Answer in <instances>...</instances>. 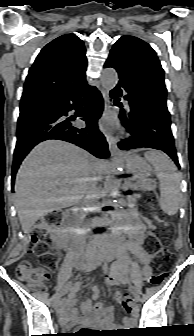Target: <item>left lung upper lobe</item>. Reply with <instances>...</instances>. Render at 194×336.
I'll return each mask as SVG.
<instances>
[{
  "label": "left lung upper lobe",
  "instance_id": "obj_1",
  "mask_svg": "<svg viewBox=\"0 0 194 336\" xmlns=\"http://www.w3.org/2000/svg\"><path fill=\"white\" fill-rule=\"evenodd\" d=\"M107 60L113 61L118 74L137 87L148 101L166 106L164 71L149 44L134 36H122Z\"/></svg>",
  "mask_w": 194,
  "mask_h": 336
}]
</instances>
